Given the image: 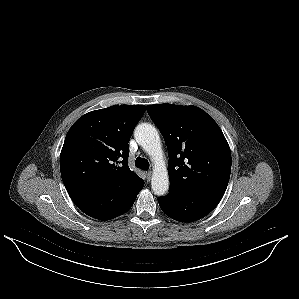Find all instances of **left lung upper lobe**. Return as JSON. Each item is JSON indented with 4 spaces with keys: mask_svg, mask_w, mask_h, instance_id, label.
Segmentation results:
<instances>
[{
    "mask_svg": "<svg viewBox=\"0 0 299 299\" xmlns=\"http://www.w3.org/2000/svg\"><path fill=\"white\" fill-rule=\"evenodd\" d=\"M147 112L167 144L169 191L224 195L231 152L213 118L195 106L148 105Z\"/></svg>",
    "mask_w": 299,
    "mask_h": 299,
    "instance_id": "1",
    "label": "left lung upper lobe"
}]
</instances>
